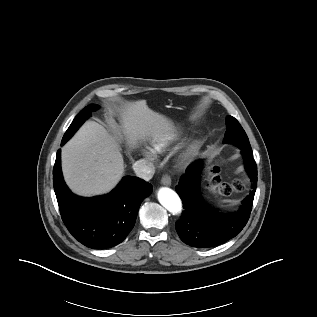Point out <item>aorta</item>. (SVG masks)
<instances>
[{
	"instance_id": "762f6f07",
	"label": "aorta",
	"mask_w": 317,
	"mask_h": 317,
	"mask_svg": "<svg viewBox=\"0 0 317 317\" xmlns=\"http://www.w3.org/2000/svg\"><path fill=\"white\" fill-rule=\"evenodd\" d=\"M160 204L171 214L177 215L182 211V202L178 194L170 188L162 187L158 191Z\"/></svg>"
}]
</instances>
